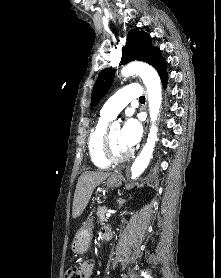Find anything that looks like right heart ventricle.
<instances>
[{
	"label": "right heart ventricle",
	"instance_id": "1",
	"mask_svg": "<svg viewBox=\"0 0 221 278\" xmlns=\"http://www.w3.org/2000/svg\"><path fill=\"white\" fill-rule=\"evenodd\" d=\"M109 119L101 116L90 131L87 146L92 163L99 168H107L110 163L102 155V139Z\"/></svg>",
	"mask_w": 221,
	"mask_h": 278
}]
</instances>
